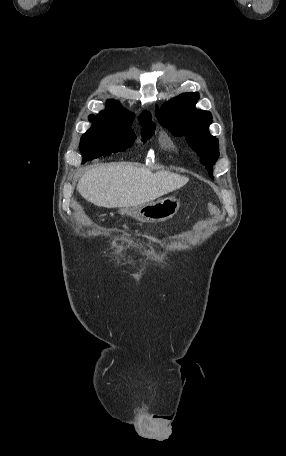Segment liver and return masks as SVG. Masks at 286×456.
<instances>
[{"label":"liver","instance_id":"liver-1","mask_svg":"<svg viewBox=\"0 0 286 456\" xmlns=\"http://www.w3.org/2000/svg\"><path fill=\"white\" fill-rule=\"evenodd\" d=\"M189 178L170 171L152 173L131 164L99 166L80 179L77 190L87 201L106 208L134 207L183 187Z\"/></svg>","mask_w":286,"mask_h":456}]
</instances>
